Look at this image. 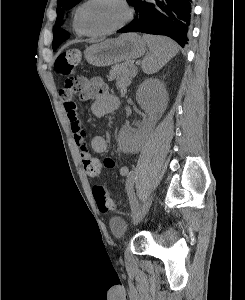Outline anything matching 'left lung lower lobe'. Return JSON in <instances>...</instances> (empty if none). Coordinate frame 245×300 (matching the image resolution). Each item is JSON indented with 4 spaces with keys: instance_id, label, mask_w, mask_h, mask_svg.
I'll use <instances>...</instances> for the list:
<instances>
[{
    "instance_id": "left-lung-lower-lobe-1",
    "label": "left lung lower lobe",
    "mask_w": 245,
    "mask_h": 300,
    "mask_svg": "<svg viewBox=\"0 0 245 300\" xmlns=\"http://www.w3.org/2000/svg\"><path fill=\"white\" fill-rule=\"evenodd\" d=\"M191 0H134L136 16L127 27L117 32H142L166 35L184 47L188 41Z\"/></svg>"
}]
</instances>
